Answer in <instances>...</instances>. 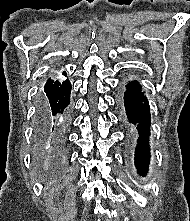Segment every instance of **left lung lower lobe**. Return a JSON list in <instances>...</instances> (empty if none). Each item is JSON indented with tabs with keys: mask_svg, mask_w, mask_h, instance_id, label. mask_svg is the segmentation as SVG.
<instances>
[{
	"mask_svg": "<svg viewBox=\"0 0 190 221\" xmlns=\"http://www.w3.org/2000/svg\"><path fill=\"white\" fill-rule=\"evenodd\" d=\"M124 106L129 123L138 130L139 138L135 153V163L139 173L143 175L147 171L150 160L148 136L150 135V111L146 97L141 91L137 81H131L126 85L124 93Z\"/></svg>",
	"mask_w": 190,
	"mask_h": 221,
	"instance_id": "1",
	"label": "left lung lower lobe"
}]
</instances>
